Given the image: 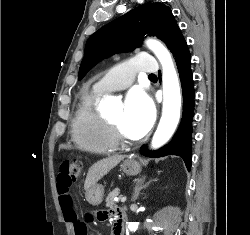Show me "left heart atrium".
<instances>
[{"instance_id": "obj_1", "label": "left heart atrium", "mask_w": 250, "mask_h": 235, "mask_svg": "<svg viewBox=\"0 0 250 235\" xmlns=\"http://www.w3.org/2000/svg\"><path fill=\"white\" fill-rule=\"evenodd\" d=\"M155 119V107L151 98L140 89L131 90L125 99L124 124L135 137L144 136Z\"/></svg>"}]
</instances>
